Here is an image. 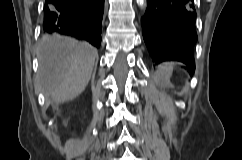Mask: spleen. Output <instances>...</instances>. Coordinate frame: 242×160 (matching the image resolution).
Returning a JSON list of instances; mask_svg holds the SVG:
<instances>
[{"instance_id":"3e777b00","label":"spleen","mask_w":242,"mask_h":160,"mask_svg":"<svg viewBox=\"0 0 242 160\" xmlns=\"http://www.w3.org/2000/svg\"><path fill=\"white\" fill-rule=\"evenodd\" d=\"M173 67L170 64H163L159 67L157 71L158 77H160L162 80L168 81L172 75Z\"/></svg>"}]
</instances>
